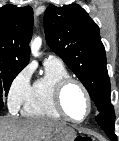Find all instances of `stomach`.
<instances>
[{
    "label": "stomach",
    "mask_w": 119,
    "mask_h": 141,
    "mask_svg": "<svg viewBox=\"0 0 119 141\" xmlns=\"http://www.w3.org/2000/svg\"><path fill=\"white\" fill-rule=\"evenodd\" d=\"M76 138V132L73 129L64 126L46 136L42 141H75Z\"/></svg>",
    "instance_id": "1"
}]
</instances>
